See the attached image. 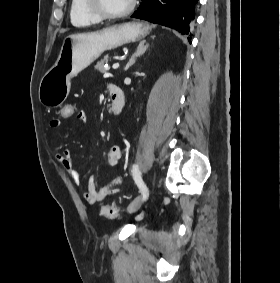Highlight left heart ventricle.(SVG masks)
Listing matches in <instances>:
<instances>
[{
  "label": "left heart ventricle",
  "mask_w": 280,
  "mask_h": 283,
  "mask_svg": "<svg viewBox=\"0 0 280 283\" xmlns=\"http://www.w3.org/2000/svg\"><path fill=\"white\" fill-rule=\"evenodd\" d=\"M101 6L108 13H119L124 11L130 4L131 0H99Z\"/></svg>",
  "instance_id": "1"
}]
</instances>
